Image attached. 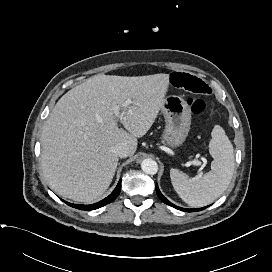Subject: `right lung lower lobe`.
Returning <instances> with one entry per match:
<instances>
[{"label":"right lung lower lobe","instance_id":"98d812e1","mask_svg":"<svg viewBox=\"0 0 272 272\" xmlns=\"http://www.w3.org/2000/svg\"><path fill=\"white\" fill-rule=\"evenodd\" d=\"M120 189H121V180L119 181V183L117 184L116 188L114 189V191L105 199H103L102 201L92 204V205H76V204H71L68 203L66 201H64L66 204L70 205L71 207L77 208V209H81V210H94L97 208H100L106 204L111 203L112 201H114L116 199V197L119 195L120 193Z\"/></svg>","mask_w":272,"mask_h":272}]
</instances>
